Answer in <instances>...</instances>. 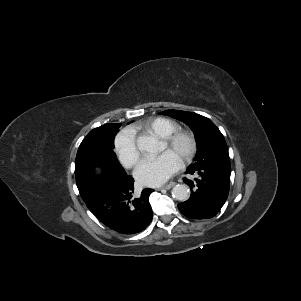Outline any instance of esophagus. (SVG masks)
Returning a JSON list of instances; mask_svg holds the SVG:
<instances>
[{"label": "esophagus", "mask_w": 301, "mask_h": 301, "mask_svg": "<svg viewBox=\"0 0 301 301\" xmlns=\"http://www.w3.org/2000/svg\"><path fill=\"white\" fill-rule=\"evenodd\" d=\"M175 184H176L175 182H170V183H168V184L162 186L160 189H170V188H172L173 186H175Z\"/></svg>", "instance_id": "obj_1"}]
</instances>
